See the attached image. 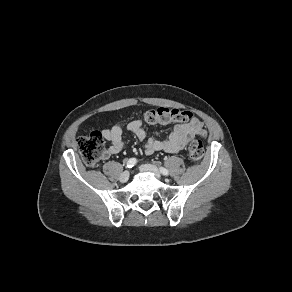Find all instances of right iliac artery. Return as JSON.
<instances>
[{"label": "right iliac artery", "mask_w": 292, "mask_h": 292, "mask_svg": "<svg viewBox=\"0 0 292 292\" xmlns=\"http://www.w3.org/2000/svg\"><path fill=\"white\" fill-rule=\"evenodd\" d=\"M136 163H137L136 158H130L126 163V168H132L133 166L136 165Z\"/></svg>", "instance_id": "82829eb1"}]
</instances>
